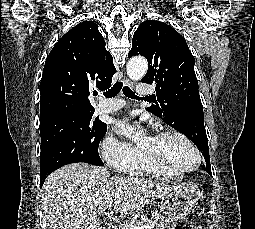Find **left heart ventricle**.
<instances>
[{"label": "left heart ventricle", "mask_w": 255, "mask_h": 229, "mask_svg": "<svg viewBox=\"0 0 255 229\" xmlns=\"http://www.w3.org/2000/svg\"><path fill=\"white\" fill-rule=\"evenodd\" d=\"M139 146L154 159L171 168H186L196 162L193 149L177 136H145Z\"/></svg>", "instance_id": "obj_1"}]
</instances>
